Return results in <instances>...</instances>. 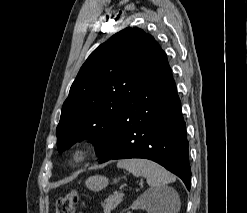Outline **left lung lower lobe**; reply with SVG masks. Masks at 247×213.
<instances>
[{"label": "left lung lower lobe", "mask_w": 247, "mask_h": 213, "mask_svg": "<svg viewBox=\"0 0 247 213\" xmlns=\"http://www.w3.org/2000/svg\"><path fill=\"white\" fill-rule=\"evenodd\" d=\"M188 146L181 103L166 57L146 71L136 95L126 101L99 162L149 159L180 177L190 190Z\"/></svg>", "instance_id": "left-lung-lower-lobe-1"}]
</instances>
